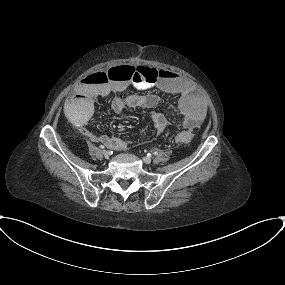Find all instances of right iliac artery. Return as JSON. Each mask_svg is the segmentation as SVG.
Wrapping results in <instances>:
<instances>
[{"label": "right iliac artery", "instance_id": "right-iliac-artery-1", "mask_svg": "<svg viewBox=\"0 0 285 285\" xmlns=\"http://www.w3.org/2000/svg\"><path fill=\"white\" fill-rule=\"evenodd\" d=\"M99 148L100 149H104L105 147H104V145H100Z\"/></svg>", "mask_w": 285, "mask_h": 285}]
</instances>
